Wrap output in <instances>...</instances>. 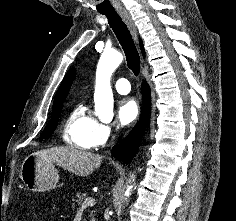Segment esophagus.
<instances>
[{
	"instance_id": "esophagus-1",
	"label": "esophagus",
	"mask_w": 236,
	"mask_h": 221,
	"mask_svg": "<svg viewBox=\"0 0 236 221\" xmlns=\"http://www.w3.org/2000/svg\"><path fill=\"white\" fill-rule=\"evenodd\" d=\"M119 15L122 17V19L124 20V22L127 24L128 28L131 31V34L133 35L135 41H138V33H137V29L136 26L131 18L130 13L125 10V9H120L118 10Z\"/></svg>"
}]
</instances>
